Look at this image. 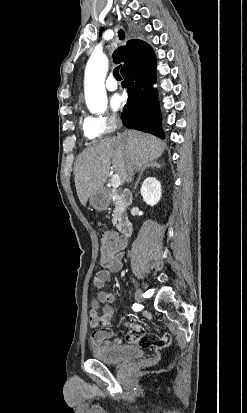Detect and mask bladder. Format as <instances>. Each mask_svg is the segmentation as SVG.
I'll list each match as a JSON object with an SVG mask.
<instances>
[{
  "label": "bladder",
  "mask_w": 247,
  "mask_h": 413,
  "mask_svg": "<svg viewBox=\"0 0 247 413\" xmlns=\"http://www.w3.org/2000/svg\"><path fill=\"white\" fill-rule=\"evenodd\" d=\"M144 351L138 346H123L114 341L106 344L101 349L94 350V358L107 363H124L132 359L143 357Z\"/></svg>",
  "instance_id": "bladder-1"
}]
</instances>
